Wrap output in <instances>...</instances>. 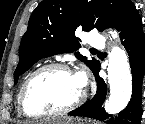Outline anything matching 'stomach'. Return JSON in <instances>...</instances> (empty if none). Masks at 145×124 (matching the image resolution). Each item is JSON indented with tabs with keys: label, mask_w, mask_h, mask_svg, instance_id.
<instances>
[{
	"label": "stomach",
	"mask_w": 145,
	"mask_h": 124,
	"mask_svg": "<svg viewBox=\"0 0 145 124\" xmlns=\"http://www.w3.org/2000/svg\"><path fill=\"white\" fill-rule=\"evenodd\" d=\"M46 124H97V123L85 121L82 119H71V118L61 117V118L50 120Z\"/></svg>",
	"instance_id": "1"
}]
</instances>
